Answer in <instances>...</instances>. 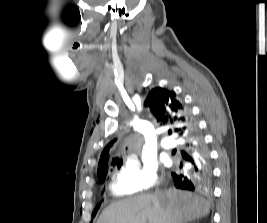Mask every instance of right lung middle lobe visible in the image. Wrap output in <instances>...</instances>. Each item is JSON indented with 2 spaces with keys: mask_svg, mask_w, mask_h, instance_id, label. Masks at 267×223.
Segmentation results:
<instances>
[{
  "mask_svg": "<svg viewBox=\"0 0 267 223\" xmlns=\"http://www.w3.org/2000/svg\"><path fill=\"white\" fill-rule=\"evenodd\" d=\"M106 175H107V171H105V173L103 174V176L100 178V181L103 182L105 180ZM98 208H99V205L95 208L94 213H92V216H95L96 215V212H97Z\"/></svg>",
  "mask_w": 267,
  "mask_h": 223,
  "instance_id": "1",
  "label": "right lung middle lobe"
}]
</instances>
